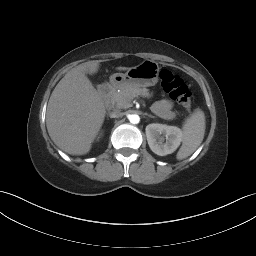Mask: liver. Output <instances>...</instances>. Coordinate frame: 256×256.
<instances>
[{"mask_svg": "<svg viewBox=\"0 0 256 256\" xmlns=\"http://www.w3.org/2000/svg\"><path fill=\"white\" fill-rule=\"evenodd\" d=\"M98 69V61L78 65L59 81L50 96L47 130L52 141L68 154H87L104 122L103 100L86 75Z\"/></svg>", "mask_w": 256, "mask_h": 256, "instance_id": "obj_1", "label": "liver"}]
</instances>
